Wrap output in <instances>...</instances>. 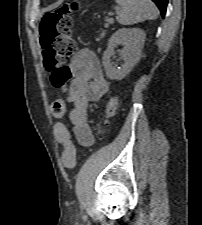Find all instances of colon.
<instances>
[{
    "mask_svg": "<svg viewBox=\"0 0 202 225\" xmlns=\"http://www.w3.org/2000/svg\"><path fill=\"white\" fill-rule=\"evenodd\" d=\"M76 5H62L56 11L45 14L40 22V44L43 51V67L48 74L50 82L55 87L63 86L69 81L71 74L68 67L75 44L71 37L73 18ZM117 108V98H110L106 105L107 121L112 118ZM52 114L61 117L65 114V103L58 99L52 102ZM65 146L62 152V164L65 168L75 165L76 150L71 138L64 135Z\"/></svg>",
    "mask_w": 202,
    "mask_h": 225,
    "instance_id": "obj_1",
    "label": "colon"
}]
</instances>
